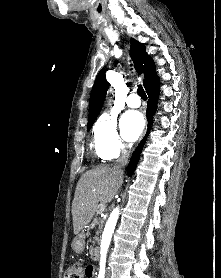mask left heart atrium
Returning a JSON list of instances; mask_svg holds the SVG:
<instances>
[{
	"label": "left heart atrium",
	"instance_id": "1",
	"mask_svg": "<svg viewBox=\"0 0 221 278\" xmlns=\"http://www.w3.org/2000/svg\"><path fill=\"white\" fill-rule=\"evenodd\" d=\"M123 136L127 141H135L144 128V118L138 111H128L121 118Z\"/></svg>",
	"mask_w": 221,
	"mask_h": 278
}]
</instances>
